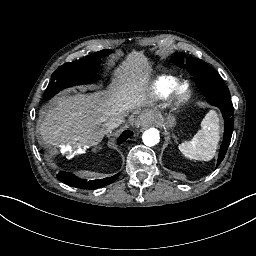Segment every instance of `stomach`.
Here are the masks:
<instances>
[{
    "label": "stomach",
    "mask_w": 256,
    "mask_h": 256,
    "mask_svg": "<svg viewBox=\"0 0 256 256\" xmlns=\"http://www.w3.org/2000/svg\"><path fill=\"white\" fill-rule=\"evenodd\" d=\"M158 118L154 121L159 122L165 129H169L174 125V119L171 115L168 117L165 115H156ZM150 122H153V120H150Z\"/></svg>",
    "instance_id": "stomach-1"
}]
</instances>
